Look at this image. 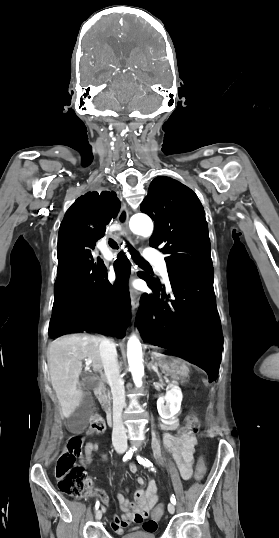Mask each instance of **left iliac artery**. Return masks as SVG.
<instances>
[{
  "label": "left iliac artery",
  "instance_id": "44dca946",
  "mask_svg": "<svg viewBox=\"0 0 279 538\" xmlns=\"http://www.w3.org/2000/svg\"><path fill=\"white\" fill-rule=\"evenodd\" d=\"M137 461H138L140 464H142L143 466L148 467V468H150L152 471H154L153 464H152L148 459L143 458V457H141V456H137ZM170 500H171V502H172L173 504H176V499H175L174 495L171 496Z\"/></svg>",
  "mask_w": 279,
  "mask_h": 538
}]
</instances>
